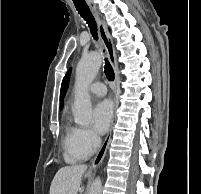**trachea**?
Masks as SVG:
<instances>
[{"instance_id": "obj_1", "label": "trachea", "mask_w": 201, "mask_h": 194, "mask_svg": "<svg viewBox=\"0 0 201 194\" xmlns=\"http://www.w3.org/2000/svg\"><path fill=\"white\" fill-rule=\"evenodd\" d=\"M74 5L78 13L81 15V17H83L84 20L87 22L94 39L98 40L96 22L87 4L85 2H79V3L74 2ZM104 69H105V75L107 79L109 81H113L115 77L114 70L107 58H105Z\"/></svg>"}]
</instances>
